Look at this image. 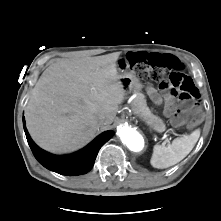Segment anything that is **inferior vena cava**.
Masks as SVG:
<instances>
[{"instance_id": "obj_1", "label": "inferior vena cava", "mask_w": 221, "mask_h": 221, "mask_svg": "<svg viewBox=\"0 0 221 221\" xmlns=\"http://www.w3.org/2000/svg\"><path fill=\"white\" fill-rule=\"evenodd\" d=\"M97 121L100 123V124H103L104 121H105V117L103 115H100L97 117Z\"/></svg>"}]
</instances>
